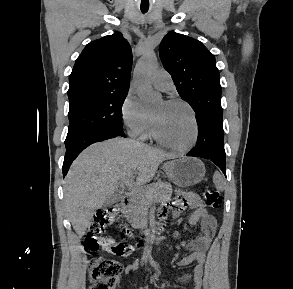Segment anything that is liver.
Segmentation results:
<instances>
[{
    "mask_svg": "<svg viewBox=\"0 0 293 289\" xmlns=\"http://www.w3.org/2000/svg\"><path fill=\"white\" fill-rule=\"evenodd\" d=\"M171 158L173 154L124 138L85 149L73 162L64 183V204L77 235L85 234L95 210L126 180L142 186L153 179L163 161Z\"/></svg>",
    "mask_w": 293,
    "mask_h": 289,
    "instance_id": "obj_1",
    "label": "liver"
}]
</instances>
